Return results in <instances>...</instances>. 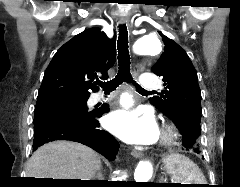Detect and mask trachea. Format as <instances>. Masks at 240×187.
Returning <instances> with one entry per match:
<instances>
[{"label": "trachea", "instance_id": "obj_1", "mask_svg": "<svg viewBox=\"0 0 240 187\" xmlns=\"http://www.w3.org/2000/svg\"><path fill=\"white\" fill-rule=\"evenodd\" d=\"M128 32L125 24L119 26V37L117 42L118 48V73L110 81L107 83L98 82V84L103 88V90L107 92H111L115 90L123 81L132 83L138 92L146 93L139 84H137L130 74V55L128 51Z\"/></svg>", "mask_w": 240, "mask_h": 187}]
</instances>
